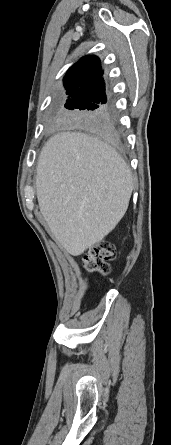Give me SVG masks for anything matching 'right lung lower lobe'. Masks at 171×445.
<instances>
[{"label":"right lung lower lobe","mask_w":171,"mask_h":445,"mask_svg":"<svg viewBox=\"0 0 171 445\" xmlns=\"http://www.w3.org/2000/svg\"><path fill=\"white\" fill-rule=\"evenodd\" d=\"M101 127L107 138L112 139L116 135L114 126L113 111L111 105L107 108L100 120Z\"/></svg>","instance_id":"1"}]
</instances>
